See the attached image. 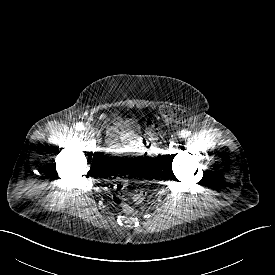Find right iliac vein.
Here are the masks:
<instances>
[{
	"mask_svg": "<svg viewBox=\"0 0 275 275\" xmlns=\"http://www.w3.org/2000/svg\"><path fill=\"white\" fill-rule=\"evenodd\" d=\"M85 131H86L87 134H89V135H91V136L94 135V130H93L92 127H87V128L85 129Z\"/></svg>",
	"mask_w": 275,
	"mask_h": 275,
	"instance_id": "obj_1",
	"label": "right iliac vein"
}]
</instances>
